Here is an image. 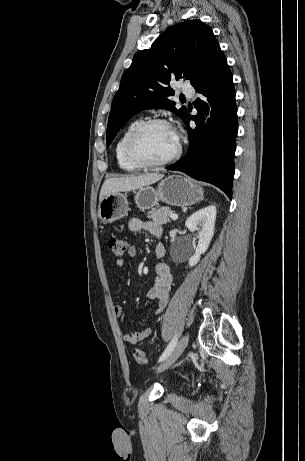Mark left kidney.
I'll return each mask as SVG.
<instances>
[{
    "label": "left kidney",
    "mask_w": 305,
    "mask_h": 461,
    "mask_svg": "<svg viewBox=\"0 0 305 461\" xmlns=\"http://www.w3.org/2000/svg\"><path fill=\"white\" fill-rule=\"evenodd\" d=\"M216 206L209 205L192 214L185 222V226L191 232H197L199 241L194 247V254L189 258V266H195L203 253L209 247L214 235V226L216 221Z\"/></svg>",
    "instance_id": "5707ae66"
}]
</instances>
